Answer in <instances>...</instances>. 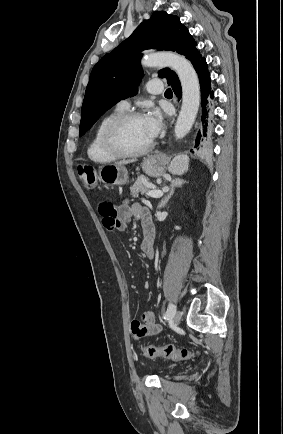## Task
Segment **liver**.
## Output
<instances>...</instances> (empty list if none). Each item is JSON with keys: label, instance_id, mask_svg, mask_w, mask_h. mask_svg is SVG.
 <instances>
[{"label": "liver", "instance_id": "liver-1", "mask_svg": "<svg viewBox=\"0 0 283 434\" xmlns=\"http://www.w3.org/2000/svg\"><path fill=\"white\" fill-rule=\"evenodd\" d=\"M131 162H133V161H120V162H117L115 164H117V165H124V164H129Z\"/></svg>", "mask_w": 283, "mask_h": 434}]
</instances>
